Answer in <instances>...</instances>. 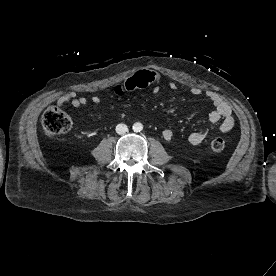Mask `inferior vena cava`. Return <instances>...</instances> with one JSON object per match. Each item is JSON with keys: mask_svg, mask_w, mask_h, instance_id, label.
I'll list each match as a JSON object with an SVG mask.
<instances>
[{"mask_svg": "<svg viewBox=\"0 0 276 276\" xmlns=\"http://www.w3.org/2000/svg\"><path fill=\"white\" fill-rule=\"evenodd\" d=\"M116 132L117 134H125L126 132H128V127L125 124H118L116 126Z\"/></svg>", "mask_w": 276, "mask_h": 276, "instance_id": "inferior-vena-cava-1", "label": "inferior vena cava"}]
</instances>
